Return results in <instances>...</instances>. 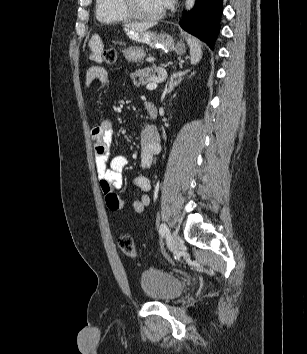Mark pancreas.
Segmentation results:
<instances>
[{
    "mask_svg": "<svg viewBox=\"0 0 307 354\" xmlns=\"http://www.w3.org/2000/svg\"><path fill=\"white\" fill-rule=\"evenodd\" d=\"M157 71L158 68L153 65L152 67L136 70L134 73L130 74V77L133 80V84L139 87L140 85L148 84L152 82L154 78L159 77Z\"/></svg>",
    "mask_w": 307,
    "mask_h": 354,
    "instance_id": "obj_1",
    "label": "pancreas"
}]
</instances>
